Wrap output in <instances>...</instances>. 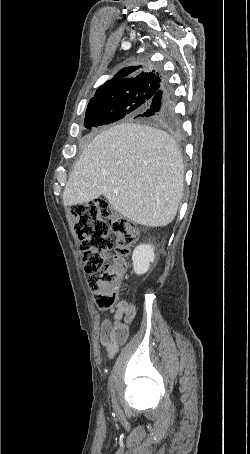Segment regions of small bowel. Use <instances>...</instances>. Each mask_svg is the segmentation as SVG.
Wrapping results in <instances>:
<instances>
[{"label": "small bowel", "mask_w": 250, "mask_h": 454, "mask_svg": "<svg viewBox=\"0 0 250 454\" xmlns=\"http://www.w3.org/2000/svg\"><path fill=\"white\" fill-rule=\"evenodd\" d=\"M136 315L135 306L129 301H121L116 307L113 321L104 320L100 329V343L105 348L107 357L112 359L120 345L129 336V325Z\"/></svg>", "instance_id": "1"}]
</instances>
